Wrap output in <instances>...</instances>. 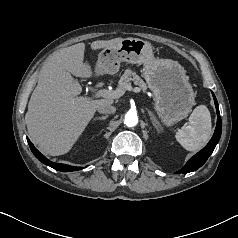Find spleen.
<instances>
[{
	"label": "spleen",
	"instance_id": "1",
	"mask_svg": "<svg viewBox=\"0 0 238 238\" xmlns=\"http://www.w3.org/2000/svg\"><path fill=\"white\" fill-rule=\"evenodd\" d=\"M212 135L211 116L205 105L197 106L189 117V122L176 132V140L188 151L202 149Z\"/></svg>",
	"mask_w": 238,
	"mask_h": 238
}]
</instances>
